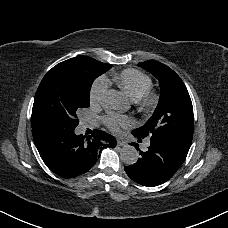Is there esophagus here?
<instances>
[{"mask_svg": "<svg viewBox=\"0 0 228 228\" xmlns=\"http://www.w3.org/2000/svg\"><path fill=\"white\" fill-rule=\"evenodd\" d=\"M127 145H128V143L126 141H124L122 139H117V146H119V147H125Z\"/></svg>", "mask_w": 228, "mask_h": 228, "instance_id": "esophagus-1", "label": "esophagus"}]
</instances>
